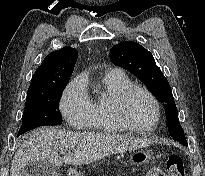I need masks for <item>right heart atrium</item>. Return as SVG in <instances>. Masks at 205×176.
I'll return each mask as SVG.
<instances>
[{
	"instance_id": "right-heart-atrium-1",
	"label": "right heart atrium",
	"mask_w": 205,
	"mask_h": 176,
	"mask_svg": "<svg viewBox=\"0 0 205 176\" xmlns=\"http://www.w3.org/2000/svg\"><path fill=\"white\" fill-rule=\"evenodd\" d=\"M59 108L65 120L74 128L83 129L89 123L92 105L81 76L75 77L66 86Z\"/></svg>"
}]
</instances>
